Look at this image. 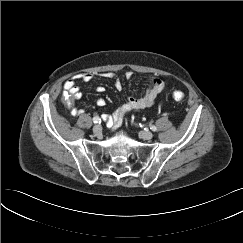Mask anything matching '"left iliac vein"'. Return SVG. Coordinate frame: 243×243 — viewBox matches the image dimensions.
Wrapping results in <instances>:
<instances>
[{"mask_svg": "<svg viewBox=\"0 0 243 243\" xmlns=\"http://www.w3.org/2000/svg\"><path fill=\"white\" fill-rule=\"evenodd\" d=\"M139 135L144 140H150L153 137V134L150 131H141Z\"/></svg>", "mask_w": 243, "mask_h": 243, "instance_id": "left-iliac-vein-1", "label": "left iliac vein"}]
</instances>
